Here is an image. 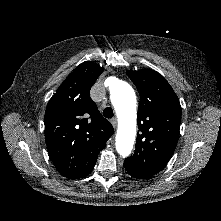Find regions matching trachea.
<instances>
[{
  "instance_id": "3493384b",
  "label": "trachea",
  "mask_w": 221,
  "mask_h": 221,
  "mask_svg": "<svg viewBox=\"0 0 221 221\" xmlns=\"http://www.w3.org/2000/svg\"><path fill=\"white\" fill-rule=\"evenodd\" d=\"M103 115L105 118H112L114 115L113 109L111 107H107L103 110Z\"/></svg>"
}]
</instances>
